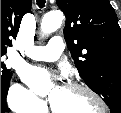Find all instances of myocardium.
Instances as JSON below:
<instances>
[{"mask_svg": "<svg viewBox=\"0 0 121 113\" xmlns=\"http://www.w3.org/2000/svg\"><path fill=\"white\" fill-rule=\"evenodd\" d=\"M65 87L70 88L72 90L84 92L90 98H92L94 101H96L98 103V105L100 106V110L96 113H105L107 111L108 106H107V103L105 102V100L97 92H95L92 88H90L89 86H87L83 83L68 82L65 85ZM50 108H51L52 112L60 113L55 109V107L52 103L50 104Z\"/></svg>", "mask_w": 121, "mask_h": 113, "instance_id": "myocardium-1", "label": "myocardium"}]
</instances>
